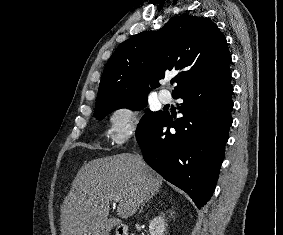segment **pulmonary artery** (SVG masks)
<instances>
[{"instance_id": "e3ab8cb5", "label": "pulmonary artery", "mask_w": 283, "mask_h": 235, "mask_svg": "<svg viewBox=\"0 0 283 235\" xmlns=\"http://www.w3.org/2000/svg\"><path fill=\"white\" fill-rule=\"evenodd\" d=\"M158 96L162 103H169L172 99L171 93L167 90H160Z\"/></svg>"}]
</instances>
